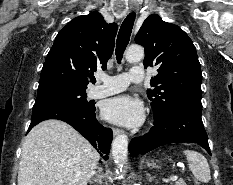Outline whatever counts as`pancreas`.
Listing matches in <instances>:
<instances>
[{
    "label": "pancreas",
    "mask_w": 233,
    "mask_h": 185,
    "mask_svg": "<svg viewBox=\"0 0 233 185\" xmlns=\"http://www.w3.org/2000/svg\"><path fill=\"white\" fill-rule=\"evenodd\" d=\"M174 185H186L183 180L176 181Z\"/></svg>",
    "instance_id": "1"
}]
</instances>
